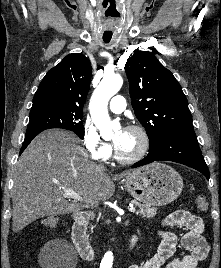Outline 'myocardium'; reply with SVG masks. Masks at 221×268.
Masks as SVG:
<instances>
[{"label": "myocardium", "instance_id": "f54148a6", "mask_svg": "<svg viewBox=\"0 0 221 268\" xmlns=\"http://www.w3.org/2000/svg\"><path fill=\"white\" fill-rule=\"evenodd\" d=\"M126 130L134 131L139 134L142 141L141 148L137 154L131 157H125L121 155L117 149H115V158L122 164H133L142 160L148 153L150 148V138L147 131L139 125H130L126 128Z\"/></svg>", "mask_w": 221, "mask_h": 268}]
</instances>
